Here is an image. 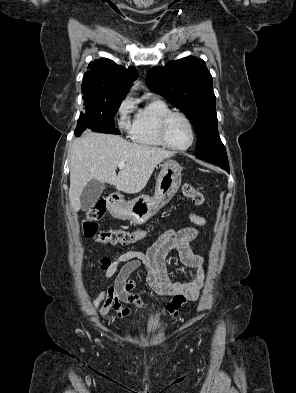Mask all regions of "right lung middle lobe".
Returning <instances> with one entry per match:
<instances>
[{
	"mask_svg": "<svg viewBox=\"0 0 296 393\" xmlns=\"http://www.w3.org/2000/svg\"><path fill=\"white\" fill-rule=\"evenodd\" d=\"M124 98L84 100L85 113L80 114L77 124L93 123L114 128V116Z\"/></svg>",
	"mask_w": 296,
	"mask_h": 393,
	"instance_id": "dd1d6c3e",
	"label": "right lung middle lobe"
}]
</instances>
